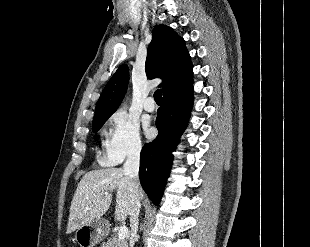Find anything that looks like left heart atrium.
<instances>
[{
  "label": "left heart atrium",
  "mask_w": 310,
  "mask_h": 247,
  "mask_svg": "<svg viewBox=\"0 0 310 247\" xmlns=\"http://www.w3.org/2000/svg\"><path fill=\"white\" fill-rule=\"evenodd\" d=\"M151 134H152V130L151 129H147V135L151 136Z\"/></svg>",
  "instance_id": "1"
}]
</instances>
